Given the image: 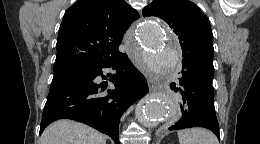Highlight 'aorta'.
I'll return each instance as SVG.
<instances>
[{
    "label": "aorta",
    "instance_id": "aorta-1",
    "mask_svg": "<svg viewBox=\"0 0 260 144\" xmlns=\"http://www.w3.org/2000/svg\"><path fill=\"white\" fill-rule=\"evenodd\" d=\"M137 40L140 47L147 51V56H140L137 49L132 53L141 61L144 68L157 75L172 73L179 61L178 42L165 31L156 19H146L138 27ZM175 101L165 93L144 97L136 107L138 122L146 127H153L162 122L171 123L176 115ZM174 113V114H173Z\"/></svg>",
    "mask_w": 260,
    "mask_h": 144
}]
</instances>
